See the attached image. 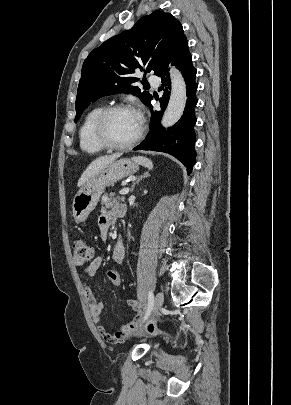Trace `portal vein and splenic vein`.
<instances>
[{"instance_id":"18ae733b","label":"portal vein and splenic vein","mask_w":291,"mask_h":405,"mask_svg":"<svg viewBox=\"0 0 291 405\" xmlns=\"http://www.w3.org/2000/svg\"><path fill=\"white\" fill-rule=\"evenodd\" d=\"M121 195H126L129 193V188H123L122 190H120L119 192Z\"/></svg>"}]
</instances>
